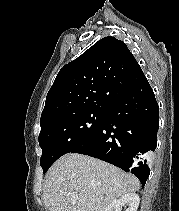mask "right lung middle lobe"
Segmentation results:
<instances>
[{"label":"right lung middle lobe","mask_w":179,"mask_h":211,"mask_svg":"<svg viewBox=\"0 0 179 211\" xmlns=\"http://www.w3.org/2000/svg\"><path fill=\"white\" fill-rule=\"evenodd\" d=\"M107 108H92L53 120L41 128L39 144L43 150V173L62 155L87 142L100 128Z\"/></svg>","instance_id":"right-lung-middle-lobe-1"}]
</instances>
